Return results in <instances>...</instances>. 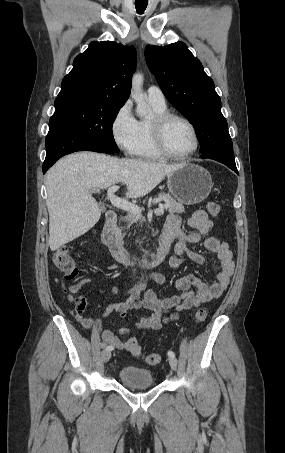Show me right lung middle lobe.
<instances>
[{
  "instance_id": "right-lung-middle-lobe-1",
  "label": "right lung middle lobe",
  "mask_w": 285,
  "mask_h": 453,
  "mask_svg": "<svg viewBox=\"0 0 285 453\" xmlns=\"http://www.w3.org/2000/svg\"><path fill=\"white\" fill-rule=\"evenodd\" d=\"M122 106V103L97 98L55 100V112L50 121H60L102 149L118 153L112 124Z\"/></svg>"
}]
</instances>
